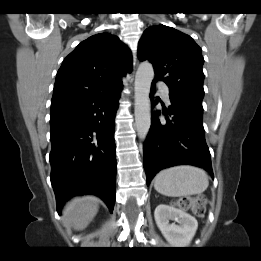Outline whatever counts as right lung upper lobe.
Listing matches in <instances>:
<instances>
[{"label": "right lung upper lobe", "mask_w": 261, "mask_h": 261, "mask_svg": "<svg viewBox=\"0 0 261 261\" xmlns=\"http://www.w3.org/2000/svg\"><path fill=\"white\" fill-rule=\"evenodd\" d=\"M131 52L110 33L82 41L58 70L51 105L122 86L119 77L131 72Z\"/></svg>", "instance_id": "right-lung-upper-lobe-1"}]
</instances>
